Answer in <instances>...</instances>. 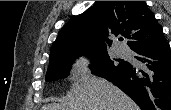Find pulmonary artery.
Wrapping results in <instances>:
<instances>
[{"instance_id": "e3ab8cb5", "label": "pulmonary artery", "mask_w": 171, "mask_h": 110, "mask_svg": "<svg viewBox=\"0 0 171 110\" xmlns=\"http://www.w3.org/2000/svg\"><path fill=\"white\" fill-rule=\"evenodd\" d=\"M119 54H122V51H118Z\"/></svg>"}]
</instances>
